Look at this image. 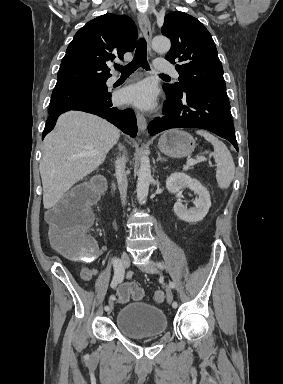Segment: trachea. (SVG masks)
<instances>
[{
	"label": "trachea",
	"mask_w": 283,
	"mask_h": 384,
	"mask_svg": "<svg viewBox=\"0 0 283 384\" xmlns=\"http://www.w3.org/2000/svg\"><path fill=\"white\" fill-rule=\"evenodd\" d=\"M139 67H142L145 70H149L150 68L147 61V43L144 38L139 39L132 62L128 63V65H125L124 67L122 65H116L114 68L116 70H119L121 74H131ZM161 75L169 77L164 73H162Z\"/></svg>",
	"instance_id": "trachea-1"
}]
</instances>
